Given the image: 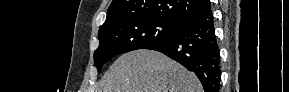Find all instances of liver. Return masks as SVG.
<instances>
[{"label":"liver","instance_id":"6515ba94","mask_svg":"<svg viewBox=\"0 0 289 92\" xmlns=\"http://www.w3.org/2000/svg\"><path fill=\"white\" fill-rule=\"evenodd\" d=\"M99 92H203L193 72L157 51L121 55L101 81Z\"/></svg>","mask_w":289,"mask_h":92}]
</instances>
